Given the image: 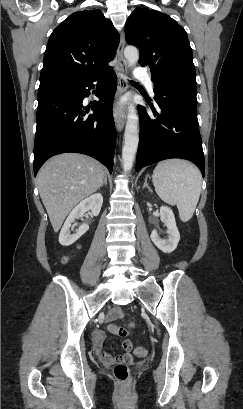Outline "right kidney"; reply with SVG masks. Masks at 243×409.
<instances>
[{
	"label": "right kidney",
	"instance_id": "1",
	"mask_svg": "<svg viewBox=\"0 0 243 409\" xmlns=\"http://www.w3.org/2000/svg\"><path fill=\"white\" fill-rule=\"evenodd\" d=\"M103 204V196L96 193L80 202L67 217L61 232L59 234V243L63 246H69L77 241L89 229L88 224H82L76 233L70 234L72 223L75 219L82 217L85 212L91 210L94 216H98Z\"/></svg>",
	"mask_w": 243,
	"mask_h": 409
}]
</instances>
